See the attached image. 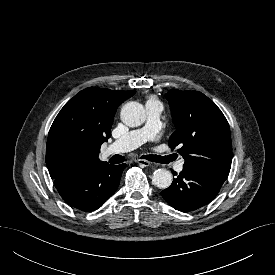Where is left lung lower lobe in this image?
I'll return each mask as SVG.
<instances>
[{
    "mask_svg": "<svg viewBox=\"0 0 275 275\" xmlns=\"http://www.w3.org/2000/svg\"><path fill=\"white\" fill-rule=\"evenodd\" d=\"M225 180L219 175L183 166L180 174L161 195L176 210L189 212L211 202Z\"/></svg>",
    "mask_w": 275,
    "mask_h": 275,
    "instance_id": "1",
    "label": "left lung lower lobe"
}]
</instances>
